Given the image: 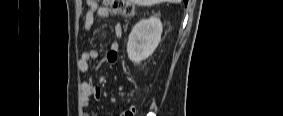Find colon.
<instances>
[{
    "label": "colon",
    "mask_w": 283,
    "mask_h": 116,
    "mask_svg": "<svg viewBox=\"0 0 283 116\" xmlns=\"http://www.w3.org/2000/svg\"><path fill=\"white\" fill-rule=\"evenodd\" d=\"M108 10L116 15L122 17H132L135 14L134 3L131 0H105ZM135 112L134 107L127 108L124 116H133Z\"/></svg>",
    "instance_id": "1"
}]
</instances>
